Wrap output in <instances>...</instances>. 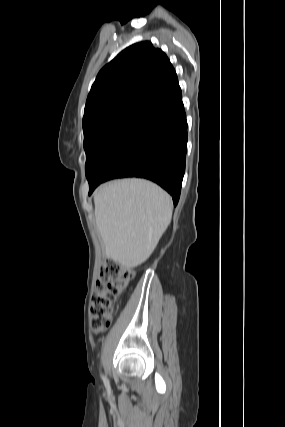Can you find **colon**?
<instances>
[{"instance_id":"colon-1","label":"colon","mask_w":285,"mask_h":427,"mask_svg":"<svg viewBox=\"0 0 285 427\" xmlns=\"http://www.w3.org/2000/svg\"><path fill=\"white\" fill-rule=\"evenodd\" d=\"M134 273L114 260L103 264L99 270L90 307V324L94 332L107 330L113 319V304L126 290Z\"/></svg>"}]
</instances>
